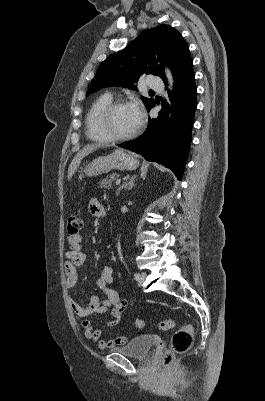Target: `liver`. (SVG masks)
<instances>
[{
    "instance_id": "1",
    "label": "liver",
    "mask_w": 265,
    "mask_h": 401,
    "mask_svg": "<svg viewBox=\"0 0 265 401\" xmlns=\"http://www.w3.org/2000/svg\"><path fill=\"white\" fill-rule=\"evenodd\" d=\"M100 146H104V144H101V142H92V144H87V146H83L82 150H78L77 154H75L72 162L69 164L68 168V178H72L75 170H77L82 158L84 156H87V154H90V152H93V150H96V148H100ZM109 146V144H107Z\"/></svg>"
}]
</instances>
